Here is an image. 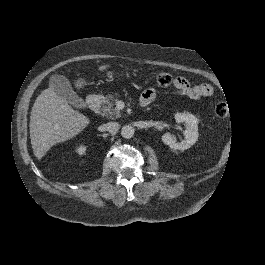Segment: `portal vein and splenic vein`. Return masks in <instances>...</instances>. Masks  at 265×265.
<instances>
[{"label": "portal vein and splenic vein", "instance_id": "portal-vein-and-splenic-vein-1", "mask_svg": "<svg viewBox=\"0 0 265 265\" xmlns=\"http://www.w3.org/2000/svg\"><path fill=\"white\" fill-rule=\"evenodd\" d=\"M117 105L120 106V108H124V103L121 102V101H119V102L117 103Z\"/></svg>", "mask_w": 265, "mask_h": 265}]
</instances>
